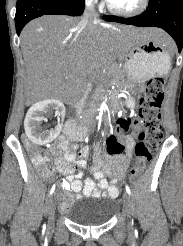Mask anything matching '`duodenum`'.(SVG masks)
Here are the masks:
<instances>
[{"label":"duodenum","instance_id":"duodenum-1","mask_svg":"<svg viewBox=\"0 0 183 246\" xmlns=\"http://www.w3.org/2000/svg\"><path fill=\"white\" fill-rule=\"evenodd\" d=\"M64 133L68 138L76 139L77 141H80L81 138H83V133H80V129L74 120H70L66 123L64 127ZM95 150L99 151L100 147L96 145Z\"/></svg>","mask_w":183,"mask_h":246}]
</instances>
